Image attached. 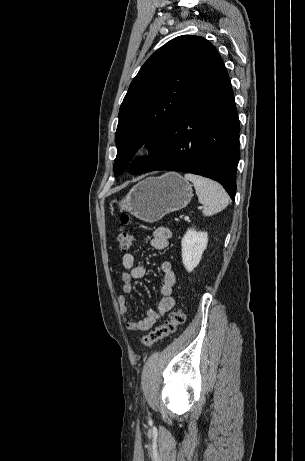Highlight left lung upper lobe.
<instances>
[{
  "instance_id": "left-lung-upper-lobe-1",
  "label": "left lung upper lobe",
  "mask_w": 305,
  "mask_h": 461,
  "mask_svg": "<svg viewBox=\"0 0 305 461\" xmlns=\"http://www.w3.org/2000/svg\"><path fill=\"white\" fill-rule=\"evenodd\" d=\"M219 58L216 48L199 36H179L156 52L141 67L121 104L115 134V176L126 169L136 149H151L135 160L130 170L148 172L159 158L164 135L194 87Z\"/></svg>"
}]
</instances>
